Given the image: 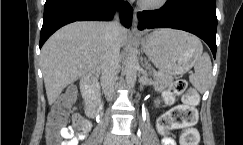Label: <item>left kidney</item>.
<instances>
[{
    "mask_svg": "<svg viewBox=\"0 0 243 145\" xmlns=\"http://www.w3.org/2000/svg\"><path fill=\"white\" fill-rule=\"evenodd\" d=\"M155 103H156V106H158V104L160 103V101L159 100H156Z\"/></svg>",
    "mask_w": 243,
    "mask_h": 145,
    "instance_id": "left-kidney-1",
    "label": "left kidney"
}]
</instances>
